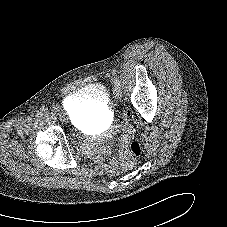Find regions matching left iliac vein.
<instances>
[{"instance_id": "left-iliac-vein-1", "label": "left iliac vein", "mask_w": 227, "mask_h": 227, "mask_svg": "<svg viewBox=\"0 0 227 227\" xmlns=\"http://www.w3.org/2000/svg\"><path fill=\"white\" fill-rule=\"evenodd\" d=\"M114 91L117 95H120L121 96V90H120V87L119 86H114Z\"/></svg>"}]
</instances>
